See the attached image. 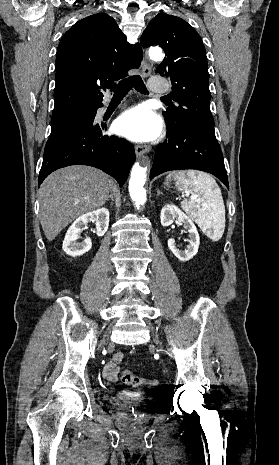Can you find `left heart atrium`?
I'll return each mask as SVG.
<instances>
[{
    "mask_svg": "<svg viewBox=\"0 0 279 465\" xmlns=\"http://www.w3.org/2000/svg\"><path fill=\"white\" fill-rule=\"evenodd\" d=\"M115 128L119 134L132 141L146 142L160 135L162 122L147 105H138L120 115Z\"/></svg>",
    "mask_w": 279,
    "mask_h": 465,
    "instance_id": "left-heart-atrium-1",
    "label": "left heart atrium"
}]
</instances>
